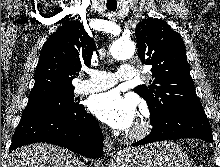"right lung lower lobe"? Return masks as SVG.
<instances>
[{"mask_svg":"<svg viewBox=\"0 0 220 167\" xmlns=\"http://www.w3.org/2000/svg\"><path fill=\"white\" fill-rule=\"evenodd\" d=\"M36 142L56 144L93 159L103 155V133L83 105L69 111L47 108L22 115L9 150Z\"/></svg>","mask_w":220,"mask_h":167,"instance_id":"1","label":"right lung lower lobe"}]
</instances>
